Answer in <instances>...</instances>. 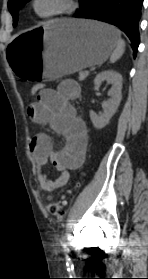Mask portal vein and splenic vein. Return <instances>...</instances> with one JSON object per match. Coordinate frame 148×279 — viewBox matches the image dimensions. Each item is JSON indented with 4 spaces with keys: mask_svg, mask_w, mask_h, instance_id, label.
Segmentation results:
<instances>
[{
    "mask_svg": "<svg viewBox=\"0 0 148 279\" xmlns=\"http://www.w3.org/2000/svg\"><path fill=\"white\" fill-rule=\"evenodd\" d=\"M88 73H89L88 71H85V72H83L82 76L86 77L88 75Z\"/></svg>",
    "mask_w": 148,
    "mask_h": 279,
    "instance_id": "portal-vein-and-splenic-vein-1",
    "label": "portal vein and splenic vein"
}]
</instances>
